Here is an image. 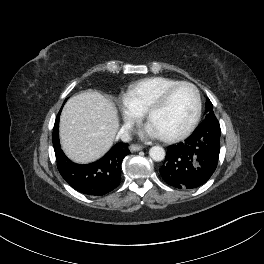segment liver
Returning a JSON list of instances; mask_svg holds the SVG:
<instances>
[{
  "instance_id": "obj_1",
  "label": "liver",
  "mask_w": 264,
  "mask_h": 264,
  "mask_svg": "<svg viewBox=\"0 0 264 264\" xmlns=\"http://www.w3.org/2000/svg\"><path fill=\"white\" fill-rule=\"evenodd\" d=\"M118 128L114 102L97 91H84L71 97L62 110L61 146L71 160L88 163L110 149Z\"/></svg>"
}]
</instances>
